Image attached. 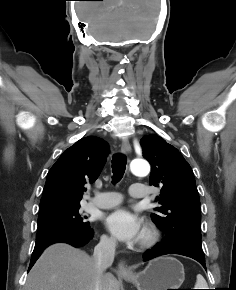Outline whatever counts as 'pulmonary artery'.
I'll return each instance as SVG.
<instances>
[{
    "mask_svg": "<svg viewBox=\"0 0 236 290\" xmlns=\"http://www.w3.org/2000/svg\"><path fill=\"white\" fill-rule=\"evenodd\" d=\"M129 194L135 199H146L149 191L141 185H132L129 188ZM122 201L121 194L117 192H102L91 198L90 204L101 209H108L118 205Z\"/></svg>",
    "mask_w": 236,
    "mask_h": 290,
    "instance_id": "obj_1",
    "label": "pulmonary artery"
}]
</instances>
